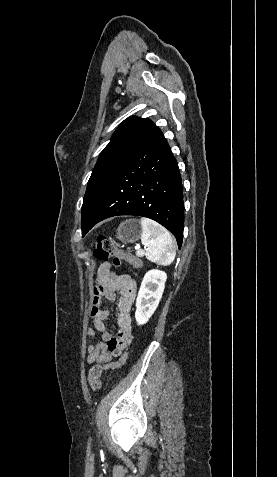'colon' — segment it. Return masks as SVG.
Returning <instances> with one entry per match:
<instances>
[{
	"label": "colon",
	"mask_w": 277,
	"mask_h": 477,
	"mask_svg": "<svg viewBox=\"0 0 277 477\" xmlns=\"http://www.w3.org/2000/svg\"><path fill=\"white\" fill-rule=\"evenodd\" d=\"M94 256L101 261L110 260L115 267H119L126 263L129 268H142L143 260L140 256L119 248L109 237L100 235L95 241ZM102 368L99 365L93 366L89 371V383L93 389L99 388V377Z\"/></svg>",
	"instance_id": "5ec220e1"
}]
</instances>
